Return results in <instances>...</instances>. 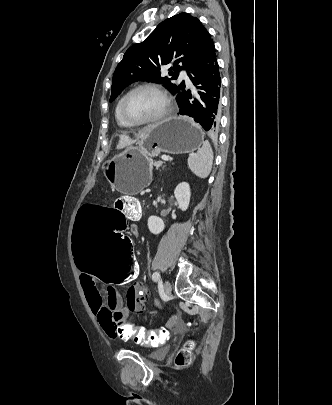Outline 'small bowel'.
Segmentation results:
<instances>
[{"label": "small bowel", "instance_id": "small-bowel-1", "mask_svg": "<svg viewBox=\"0 0 332 405\" xmlns=\"http://www.w3.org/2000/svg\"><path fill=\"white\" fill-rule=\"evenodd\" d=\"M140 216V212H136L129 215V219L136 221ZM130 232L134 234V237L138 235V228L135 224L130 226ZM136 266H138L137 263ZM78 269L81 285L91 311L106 335L110 338H117L118 329H123V324L129 323L127 321L129 312L144 311L145 306L148 305V298L142 297L140 284L137 281L139 274L136 275V281L130 282L127 297L124 300L114 287H107L105 292H102L98 287L96 275H82V268Z\"/></svg>", "mask_w": 332, "mask_h": 405}]
</instances>
